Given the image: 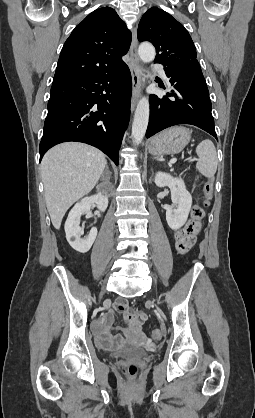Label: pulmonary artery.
<instances>
[{"label": "pulmonary artery", "mask_w": 255, "mask_h": 418, "mask_svg": "<svg viewBox=\"0 0 255 418\" xmlns=\"http://www.w3.org/2000/svg\"><path fill=\"white\" fill-rule=\"evenodd\" d=\"M154 67H155V69H157V70L159 71V73H160L163 77H165V73H164V71H163V69H162V67H161L160 65H155Z\"/></svg>", "instance_id": "1"}]
</instances>
